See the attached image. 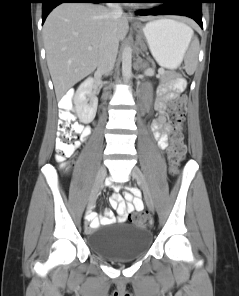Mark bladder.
Wrapping results in <instances>:
<instances>
[{
	"label": "bladder",
	"mask_w": 239,
	"mask_h": 296,
	"mask_svg": "<svg viewBox=\"0 0 239 296\" xmlns=\"http://www.w3.org/2000/svg\"><path fill=\"white\" fill-rule=\"evenodd\" d=\"M88 244L102 258L114 261L134 260L149 250L152 233L134 224H111L98 227L88 237Z\"/></svg>",
	"instance_id": "1"
}]
</instances>
